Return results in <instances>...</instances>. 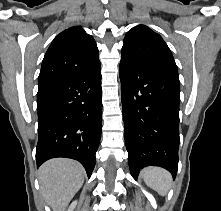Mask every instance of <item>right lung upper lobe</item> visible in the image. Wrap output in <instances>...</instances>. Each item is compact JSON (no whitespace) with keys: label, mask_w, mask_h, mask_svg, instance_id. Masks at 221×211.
<instances>
[{"label":"right lung upper lobe","mask_w":221,"mask_h":211,"mask_svg":"<svg viewBox=\"0 0 221 211\" xmlns=\"http://www.w3.org/2000/svg\"><path fill=\"white\" fill-rule=\"evenodd\" d=\"M98 66L99 52L93 37L79 26L70 27L58 34L48 48L38 85L44 86Z\"/></svg>","instance_id":"cb5924a9"}]
</instances>
